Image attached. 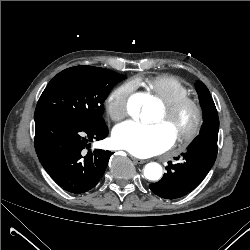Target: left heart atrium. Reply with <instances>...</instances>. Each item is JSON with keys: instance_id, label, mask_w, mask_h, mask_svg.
I'll return each instance as SVG.
<instances>
[{"instance_id": "left-heart-atrium-1", "label": "left heart atrium", "mask_w": 250, "mask_h": 250, "mask_svg": "<svg viewBox=\"0 0 250 250\" xmlns=\"http://www.w3.org/2000/svg\"><path fill=\"white\" fill-rule=\"evenodd\" d=\"M112 143L134 156L149 157L168 150L174 143V137L163 124L126 121L115 127Z\"/></svg>"}]
</instances>
